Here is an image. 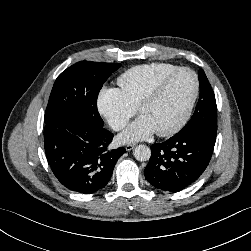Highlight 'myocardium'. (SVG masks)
Segmentation results:
<instances>
[{
  "label": "myocardium",
  "mask_w": 251,
  "mask_h": 251,
  "mask_svg": "<svg viewBox=\"0 0 251 251\" xmlns=\"http://www.w3.org/2000/svg\"><path fill=\"white\" fill-rule=\"evenodd\" d=\"M182 72H187V73H189V74H191L193 76L194 83H195L194 92L192 94V97H191V99L189 101V104H188L184 114L179 119V121L174 126H172L171 128H169L167 130L155 131L156 135L159 136V137H168V136L176 134L177 132H179L186 125V123L190 119L191 114L193 112V109L195 107L196 101H197L198 96H199V91H200V81H199V77H198L197 73L195 71H193L192 69L187 68V67H180V68L174 70L173 72L169 73L168 75L163 77L161 80H159L147 92V94L142 98V100L137 105V112L140 113L142 108H144L145 106L153 103L160 96V94L163 92V90L168 85V83L176 75H178V74H180Z\"/></svg>",
  "instance_id": "f54148a6"
}]
</instances>
